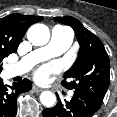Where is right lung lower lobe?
<instances>
[{
	"label": "right lung lower lobe",
	"mask_w": 117,
	"mask_h": 117,
	"mask_svg": "<svg viewBox=\"0 0 117 117\" xmlns=\"http://www.w3.org/2000/svg\"><path fill=\"white\" fill-rule=\"evenodd\" d=\"M32 88V83L24 79L12 86L4 85L0 78V117H15L17 112V97L20 93L27 92Z\"/></svg>",
	"instance_id": "98d812e1"
}]
</instances>
